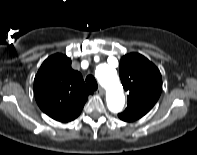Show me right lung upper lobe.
Masks as SVG:
<instances>
[{"mask_svg":"<svg viewBox=\"0 0 197 155\" xmlns=\"http://www.w3.org/2000/svg\"><path fill=\"white\" fill-rule=\"evenodd\" d=\"M92 93L82 75L71 68V59L63 54L47 58L34 79V95L40 109L64 123L79 116Z\"/></svg>","mask_w":197,"mask_h":155,"instance_id":"cb5924a9","label":"right lung upper lobe"}]
</instances>
